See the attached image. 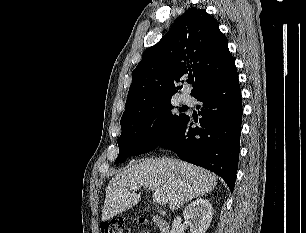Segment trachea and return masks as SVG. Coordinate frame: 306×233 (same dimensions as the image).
Here are the masks:
<instances>
[{
    "label": "trachea",
    "instance_id": "3493384b",
    "mask_svg": "<svg viewBox=\"0 0 306 233\" xmlns=\"http://www.w3.org/2000/svg\"><path fill=\"white\" fill-rule=\"evenodd\" d=\"M188 82H189V83L193 82V79H189Z\"/></svg>",
    "mask_w": 306,
    "mask_h": 233
}]
</instances>
